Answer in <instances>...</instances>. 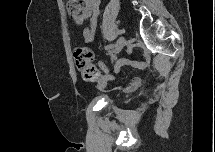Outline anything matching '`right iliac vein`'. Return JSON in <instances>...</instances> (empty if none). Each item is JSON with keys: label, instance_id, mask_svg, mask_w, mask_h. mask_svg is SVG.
<instances>
[{"label": "right iliac vein", "instance_id": "63e3f726", "mask_svg": "<svg viewBox=\"0 0 215 152\" xmlns=\"http://www.w3.org/2000/svg\"><path fill=\"white\" fill-rule=\"evenodd\" d=\"M125 45V39L124 37H120L116 43V47L114 49V54L112 56V59L115 60L116 59V56L117 54L123 49Z\"/></svg>", "mask_w": 215, "mask_h": 152}]
</instances>
